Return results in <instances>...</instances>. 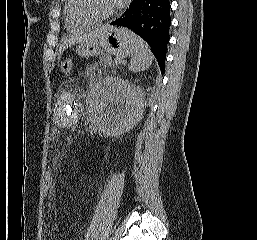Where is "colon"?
<instances>
[{
  "label": "colon",
  "instance_id": "colon-1",
  "mask_svg": "<svg viewBox=\"0 0 257 240\" xmlns=\"http://www.w3.org/2000/svg\"><path fill=\"white\" fill-rule=\"evenodd\" d=\"M74 69V61L71 58H67L64 60L62 64V73L69 77ZM53 186V173L51 167H48L45 171V178H44V189L47 196H50Z\"/></svg>",
  "mask_w": 257,
  "mask_h": 240
}]
</instances>
